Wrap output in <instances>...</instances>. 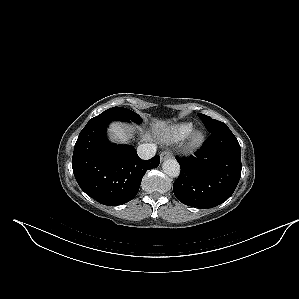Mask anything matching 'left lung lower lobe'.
<instances>
[{
	"label": "left lung lower lobe",
	"mask_w": 299,
	"mask_h": 299,
	"mask_svg": "<svg viewBox=\"0 0 299 299\" xmlns=\"http://www.w3.org/2000/svg\"><path fill=\"white\" fill-rule=\"evenodd\" d=\"M176 159L181 172L173 191L188 206L213 208L233 194L240 180L241 149L227 125L211 132L195 156Z\"/></svg>",
	"instance_id": "obj_1"
}]
</instances>
